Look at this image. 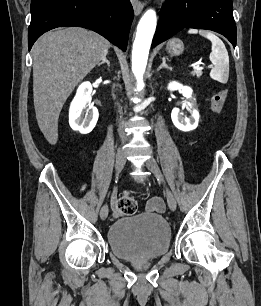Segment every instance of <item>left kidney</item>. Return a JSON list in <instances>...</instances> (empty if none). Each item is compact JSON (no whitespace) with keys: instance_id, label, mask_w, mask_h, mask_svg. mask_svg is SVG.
<instances>
[{"instance_id":"left-kidney-1","label":"left kidney","mask_w":261,"mask_h":306,"mask_svg":"<svg viewBox=\"0 0 261 306\" xmlns=\"http://www.w3.org/2000/svg\"><path fill=\"white\" fill-rule=\"evenodd\" d=\"M170 91L181 90L182 94L191 100L188 102V106L191 109L189 117H182L178 108H174L171 112V119L176 128L181 131L188 132L194 130L198 126L199 112L196 108V99L192 97L193 90L188 86H183L177 82H171L168 85Z\"/></svg>"}]
</instances>
